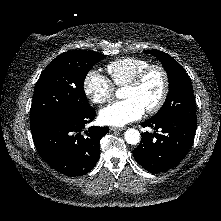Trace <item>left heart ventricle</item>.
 I'll list each match as a JSON object with an SVG mask.
<instances>
[{"label": "left heart ventricle", "instance_id": "b2bd125f", "mask_svg": "<svg viewBox=\"0 0 221 221\" xmlns=\"http://www.w3.org/2000/svg\"><path fill=\"white\" fill-rule=\"evenodd\" d=\"M163 87L158 71L151 72L137 88L126 87L125 98H135L145 109L153 106L160 97Z\"/></svg>", "mask_w": 221, "mask_h": 221}]
</instances>
